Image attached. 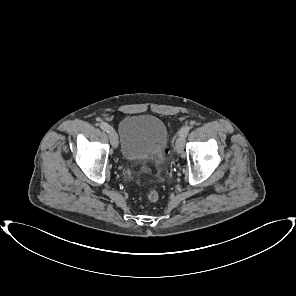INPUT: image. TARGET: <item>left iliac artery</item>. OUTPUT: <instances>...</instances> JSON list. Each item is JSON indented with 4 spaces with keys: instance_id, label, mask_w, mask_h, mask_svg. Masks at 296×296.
<instances>
[{
    "instance_id": "1",
    "label": "left iliac artery",
    "mask_w": 296,
    "mask_h": 296,
    "mask_svg": "<svg viewBox=\"0 0 296 296\" xmlns=\"http://www.w3.org/2000/svg\"><path fill=\"white\" fill-rule=\"evenodd\" d=\"M190 128H191L190 126H184V127H182L181 130H180V132H179V134L180 135L187 136L188 133H189V131H190Z\"/></svg>"
}]
</instances>
